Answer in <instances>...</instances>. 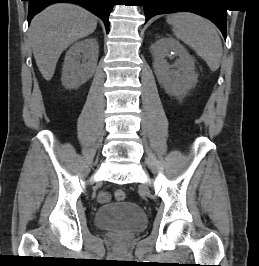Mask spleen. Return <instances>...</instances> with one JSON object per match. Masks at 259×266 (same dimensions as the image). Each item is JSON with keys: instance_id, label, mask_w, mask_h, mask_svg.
<instances>
[{"instance_id": "spleen-1", "label": "spleen", "mask_w": 259, "mask_h": 266, "mask_svg": "<svg viewBox=\"0 0 259 266\" xmlns=\"http://www.w3.org/2000/svg\"><path fill=\"white\" fill-rule=\"evenodd\" d=\"M168 22L173 26L175 36L193 49L211 71L220 67L222 43L211 21L194 13L178 12L170 15Z\"/></svg>"}]
</instances>
